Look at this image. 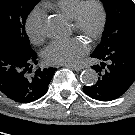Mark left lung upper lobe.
<instances>
[{"mask_svg": "<svg viewBox=\"0 0 135 135\" xmlns=\"http://www.w3.org/2000/svg\"><path fill=\"white\" fill-rule=\"evenodd\" d=\"M107 26L95 53H106L124 43H135V4L132 0H101Z\"/></svg>", "mask_w": 135, "mask_h": 135, "instance_id": "1", "label": "left lung upper lobe"}]
</instances>
